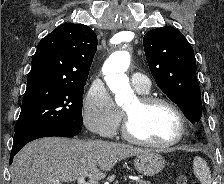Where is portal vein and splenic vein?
<instances>
[{"mask_svg": "<svg viewBox=\"0 0 224 184\" xmlns=\"http://www.w3.org/2000/svg\"><path fill=\"white\" fill-rule=\"evenodd\" d=\"M77 182H78V184H91L89 182H86L84 177H82V176L77 178Z\"/></svg>", "mask_w": 224, "mask_h": 184, "instance_id": "18ae733b", "label": "portal vein and splenic vein"}]
</instances>
